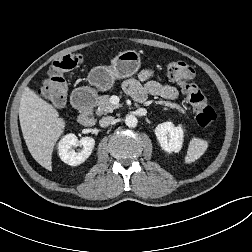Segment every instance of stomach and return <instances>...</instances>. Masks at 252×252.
I'll return each mask as SVG.
<instances>
[{
	"label": "stomach",
	"mask_w": 252,
	"mask_h": 252,
	"mask_svg": "<svg viewBox=\"0 0 252 252\" xmlns=\"http://www.w3.org/2000/svg\"><path fill=\"white\" fill-rule=\"evenodd\" d=\"M140 66V53L136 50H126L116 55L110 66H98L92 69L88 75V82L100 91H107L112 88L116 79H123L136 74ZM78 90L95 92L86 87Z\"/></svg>",
	"instance_id": "0dacf381"
}]
</instances>
